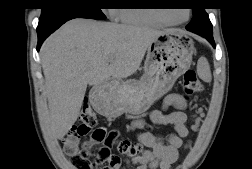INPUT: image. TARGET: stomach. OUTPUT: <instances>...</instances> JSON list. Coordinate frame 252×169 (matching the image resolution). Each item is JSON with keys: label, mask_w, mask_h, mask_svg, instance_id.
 <instances>
[{"label": "stomach", "mask_w": 252, "mask_h": 169, "mask_svg": "<svg viewBox=\"0 0 252 169\" xmlns=\"http://www.w3.org/2000/svg\"><path fill=\"white\" fill-rule=\"evenodd\" d=\"M194 51L193 40L185 33L164 32L147 49L142 77L97 85L92 105L109 117L143 114L190 67Z\"/></svg>", "instance_id": "stomach-1"}]
</instances>
